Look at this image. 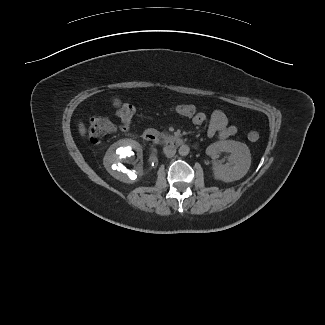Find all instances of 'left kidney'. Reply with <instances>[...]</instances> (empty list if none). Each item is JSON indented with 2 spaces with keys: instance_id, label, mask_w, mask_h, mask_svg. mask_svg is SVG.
<instances>
[{
  "instance_id": "5707ae66",
  "label": "left kidney",
  "mask_w": 325,
  "mask_h": 325,
  "mask_svg": "<svg viewBox=\"0 0 325 325\" xmlns=\"http://www.w3.org/2000/svg\"><path fill=\"white\" fill-rule=\"evenodd\" d=\"M221 152L230 154L228 163L213 168L214 178L224 182L243 178L251 165V154L247 145L234 140H224L215 142L206 149V153L212 157Z\"/></svg>"
}]
</instances>
